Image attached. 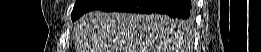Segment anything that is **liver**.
<instances>
[{
  "instance_id": "liver-1",
  "label": "liver",
  "mask_w": 261,
  "mask_h": 52,
  "mask_svg": "<svg viewBox=\"0 0 261 52\" xmlns=\"http://www.w3.org/2000/svg\"><path fill=\"white\" fill-rule=\"evenodd\" d=\"M162 17L89 12L76 26L79 52H177L186 27Z\"/></svg>"
}]
</instances>
